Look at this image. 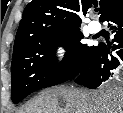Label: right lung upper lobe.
Instances as JSON below:
<instances>
[{
	"label": "right lung upper lobe",
	"mask_w": 123,
	"mask_h": 113,
	"mask_svg": "<svg viewBox=\"0 0 123 113\" xmlns=\"http://www.w3.org/2000/svg\"><path fill=\"white\" fill-rule=\"evenodd\" d=\"M117 0H100V20ZM94 0H32L24 9L14 48L44 36L80 29L78 13L85 15Z\"/></svg>",
	"instance_id": "cb5924a9"
}]
</instances>
